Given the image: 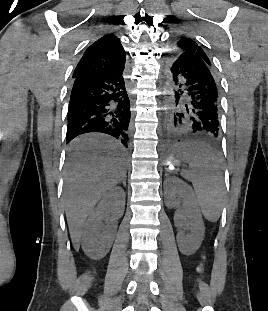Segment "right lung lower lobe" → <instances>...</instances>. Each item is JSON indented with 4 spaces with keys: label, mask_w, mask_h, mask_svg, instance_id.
<instances>
[{
    "label": "right lung lower lobe",
    "mask_w": 268,
    "mask_h": 311,
    "mask_svg": "<svg viewBox=\"0 0 268 311\" xmlns=\"http://www.w3.org/2000/svg\"><path fill=\"white\" fill-rule=\"evenodd\" d=\"M124 68L74 78L66 143L81 134L100 132L115 137L128 147L131 112Z\"/></svg>",
    "instance_id": "obj_1"
}]
</instances>
